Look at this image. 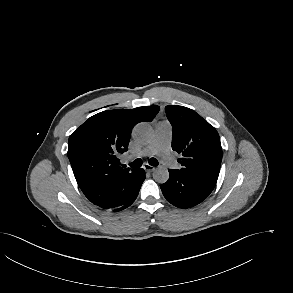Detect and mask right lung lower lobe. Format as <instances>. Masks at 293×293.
I'll return each mask as SVG.
<instances>
[{"label": "right lung lower lobe", "instance_id": "obj_1", "mask_svg": "<svg viewBox=\"0 0 293 293\" xmlns=\"http://www.w3.org/2000/svg\"><path fill=\"white\" fill-rule=\"evenodd\" d=\"M139 176H140V179H139V184L137 186L136 191L132 194V196L128 199V201L125 204H123L120 207L114 208L113 209L114 211L123 210V209L127 208L128 206H130L135 201V199L139 193L140 187H141L143 181L145 180V171L142 168L139 169Z\"/></svg>", "mask_w": 293, "mask_h": 293}]
</instances>
